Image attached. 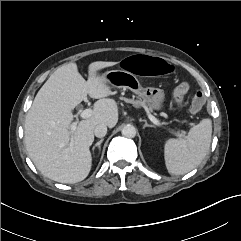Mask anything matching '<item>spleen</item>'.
<instances>
[{
    "label": "spleen",
    "instance_id": "obj_1",
    "mask_svg": "<svg viewBox=\"0 0 241 241\" xmlns=\"http://www.w3.org/2000/svg\"><path fill=\"white\" fill-rule=\"evenodd\" d=\"M212 136V121L203 119L185 138L168 139L164 144L165 165L170 174L183 175L196 168L207 155Z\"/></svg>",
    "mask_w": 241,
    "mask_h": 241
}]
</instances>
